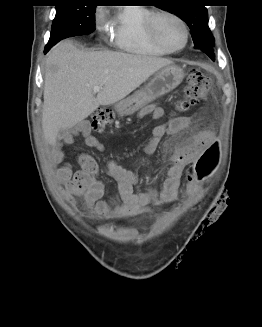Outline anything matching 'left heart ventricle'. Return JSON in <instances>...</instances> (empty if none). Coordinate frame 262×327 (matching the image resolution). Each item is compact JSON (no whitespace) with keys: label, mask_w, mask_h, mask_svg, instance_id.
<instances>
[{"label":"left heart ventricle","mask_w":262,"mask_h":327,"mask_svg":"<svg viewBox=\"0 0 262 327\" xmlns=\"http://www.w3.org/2000/svg\"><path fill=\"white\" fill-rule=\"evenodd\" d=\"M157 28L159 35L172 48H179L185 41L183 26L175 19L162 16L158 19Z\"/></svg>","instance_id":"left-heart-ventricle-1"}]
</instances>
